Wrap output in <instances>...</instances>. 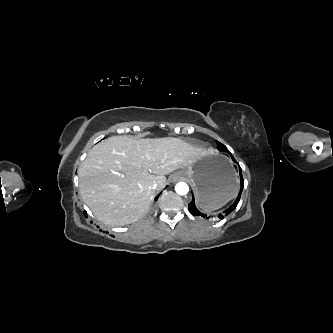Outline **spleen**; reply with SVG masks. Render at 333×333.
Listing matches in <instances>:
<instances>
[{"instance_id": "obj_1", "label": "spleen", "mask_w": 333, "mask_h": 333, "mask_svg": "<svg viewBox=\"0 0 333 333\" xmlns=\"http://www.w3.org/2000/svg\"><path fill=\"white\" fill-rule=\"evenodd\" d=\"M236 194H237V188H236V191H235L234 195H233L230 199H228L224 204H222V205H220V206H217V207H215V208H212V209H210V210H216V209H218V208H221V207L224 206L229 200H231L232 198H234V197L236 196Z\"/></svg>"}]
</instances>
